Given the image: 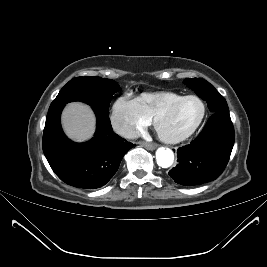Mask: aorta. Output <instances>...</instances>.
Instances as JSON below:
<instances>
[{"label":"aorta","mask_w":267,"mask_h":267,"mask_svg":"<svg viewBox=\"0 0 267 267\" xmlns=\"http://www.w3.org/2000/svg\"><path fill=\"white\" fill-rule=\"evenodd\" d=\"M157 164L162 168H168L173 164L174 154L171 149L160 147L156 151Z\"/></svg>","instance_id":"1"}]
</instances>
